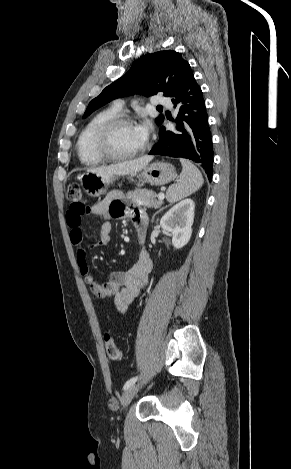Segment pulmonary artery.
Wrapping results in <instances>:
<instances>
[{
  "label": "pulmonary artery",
  "mask_w": 291,
  "mask_h": 469,
  "mask_svg": "<svg viewBox=\"0 0 291 469\" xmlns=\"http://www.w3.org/2000/svg\"><path fill=\"white\" fill-rule=\"evenodd\" d=\"M154 105H161V106H166V107H172V102L169 98L163 97V96H156L153 100ZM123 101L118 99L114 102V107L118 110H121L123 108Z\"/></svg>",
  "instance_id": "obj_1"
}]
</instances>
